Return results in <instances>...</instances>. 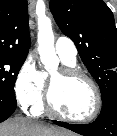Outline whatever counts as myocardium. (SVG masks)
I'll return each mask as SVG.
<instances>
[{
  "label": "myocardium",
  "mask_w": 117,
  "mask_h": 136,
  "mask_svg": "<svg viewBox=\"0 0 117 136\" xmlns=\"http://www.w3.org/2000/svg\"><path fill=\"white\" fill-rule=\"evenodd\" d=\"M74 78H80L85 80L93 90V93L95 96V106H94L93 112L87 117L75 118V117L65 115L63 112H61L58 109V107L55 105L53 101V89L57 81H66V80L74 79ZM45 105L48 112H50L52 115L62 120H65L67 122H72V123H79V124L89 123L95 120L101 112L102 96H101V92L98 85L87 73H85L81 69H78L74 66L73 67L63 66L59 70L57 77L51 76V78L49 79L47 90H46V96H45Z\"/></svg>",
  "instance_id": "myocardium-1"
}]
</instances>
